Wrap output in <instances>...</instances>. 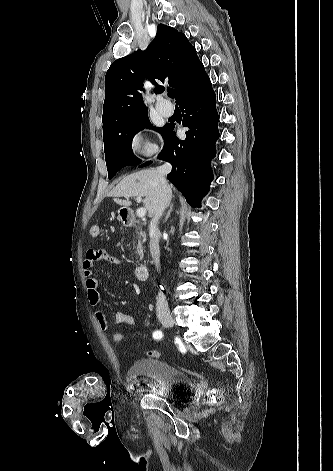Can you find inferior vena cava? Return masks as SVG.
Returning a JSON list of instances; mask_svg holds the SVG:
<instances>
[{
	"label": "inferior vena cava",
	"mask_w": 333,
	"mask_h": 471,
	"mask_svg": "<svg viewBox=\"0 0 333 471\" xmlns=\"http://www.w3.org/2000/svg\"><path fill=\"white\" fill-rule=\"evenodd\" d=\"M171 165L165 163L157 168L158 178L160 182L161 192L159 200L155 207L154 216L149 225V236H150V252L153 262L157 269L160 267V249H159V238L160 231L158 229V222L162 216L164 210L169 205L171 200V189L166 181V175L171 171ZM156 312L157 313H168L169 307L166 297L162 292L158 293L156 298Z\"/></svg>",
	"instance_id": "inferior-vena-cava-1"
}]
</instances>
